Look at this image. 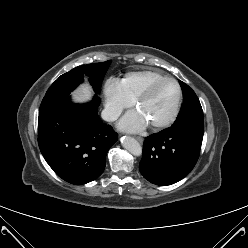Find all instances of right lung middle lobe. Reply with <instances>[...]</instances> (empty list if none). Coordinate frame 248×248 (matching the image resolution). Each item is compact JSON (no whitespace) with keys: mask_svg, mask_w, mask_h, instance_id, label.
Returning <instances> with one entry per match:
<instances>
[{"mask_svg":"<svg viewBox=\"0 0 248 248\" xmlns=\"http://www.w3.org/2000/svg\"><path fill=\"white\" fill-rule=\"evenodd\" d=\"M110 63L111 60L102 63L82 65L61 75L48 89L39 111L59 103L64 99L70 98V92L83 82L84 77H89L90 84L95 93L98 94L103 77Z\"/></svg>","mask_w":248,"mask_h":248,"instance_id":"right-lung-middle-lobe-1","label":"right lung middle lobe"}]
</instances>
